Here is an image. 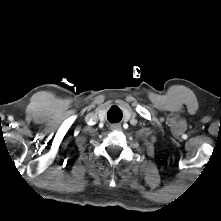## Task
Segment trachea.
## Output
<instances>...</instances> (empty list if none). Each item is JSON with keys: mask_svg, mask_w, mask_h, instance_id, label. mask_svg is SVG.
Here are the masks:
<instances>
[{"mask_svg": "<svg viewBox=\"0 0 221 221\" xmlns=\"http://www.w3.org/2000/svg\"><path fill=\"white\" fill-rule=\"evenodd\" d=\"M115 109H118V108L113 107L108 111V117H111L112 115H114L117 117V121H119L120 118L122 117V112H118V116H117V114L115 112H113Z\"/></svg>", "mask_w": 221, "mask_h": 221, "instance_id": "3493384b", "label": "trachea"}]
</instances>
